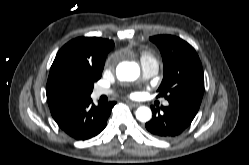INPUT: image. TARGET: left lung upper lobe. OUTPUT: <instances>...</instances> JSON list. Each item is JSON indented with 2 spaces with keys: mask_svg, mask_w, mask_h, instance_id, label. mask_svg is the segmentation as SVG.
Returning <instances> with one entry per match:
<instances>
[{
  "mask_svg": "<svg viewBox=\"0 0 249 165\" xmlns=\"http://www.w3.org/2000/svg\"><path fill=\"white\" fill-rule=\"evenodd\" d=\"M150 40L158 46L164 64L158 96L199 108L204 93V75L195 49L172 35L153 36Z\"/></svg>",
  "mask_w": 249,
  "mask_h": 165,
  "instance_id": "5c2ea615",
  "label": "left lung upper lobe"
}]
</instances>
